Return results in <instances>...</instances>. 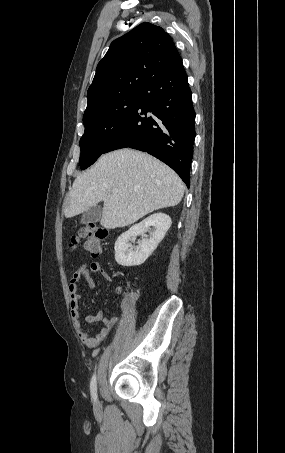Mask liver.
<instances>
[{
    "label": "liver",
    "mask_w": 285,
    "mask_h": 453,
    "mask_svg": "<svg viewBox=\"0 0 285 453\" xmlns=\"http://www.w3.org/2000/svg\"><path fill=\"white\" fill-rule=\"evenodd\" d=\"M113 188L118 193L113 194ZM184 190L180 177L167 165L149 154L125 148L102 155L76 177L64 214L71 218L103 201L100 224L115 229L154 210L176 206Z\"/></svg>",
    "instance_id": "liver-1"
}]
</instances>
